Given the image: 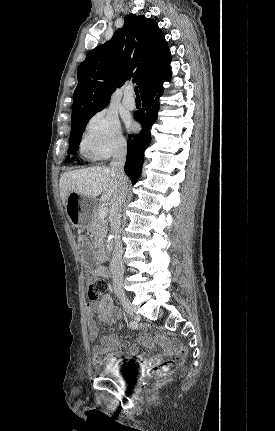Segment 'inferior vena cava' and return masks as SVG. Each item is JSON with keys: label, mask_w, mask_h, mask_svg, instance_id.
<instances>
[{"label": "inferior vena cava", "mask_w": 275, "mask_h": 431, "mask_svg": "<svg viewBox=\"0 0 275 431\" xmlns=\"http://www.w3.org/2000/svg\"><path fill=\"white\" fill-rule=\"evenodd\" d=\"M126 161V145H121L113 154V159L110 163L111 173L114 177L117 188L111 199L110 207V225L115 239V248L113 257L110 263V268L113 278V288L116 291L122 289L124 265L122 260L123 249L119 234L121 220L119 216L120 208L125 201L127 192V177L124 172Z\"/></svg>", "instance_id": "1"}]
</instances>
